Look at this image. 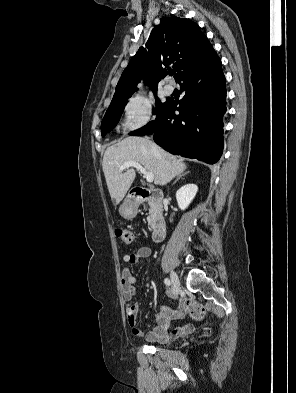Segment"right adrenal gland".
<instances>
[{"label":"right adrenal gland","mask_w":296,"mask_h":393,"mask_svg":"<svg viewBox=\"0 0 296 393\" xmlns=\"http://www.w3.org/2000/svg\"><path fill=\"white\" fill-rule=\"evenodd\" d=\"M187 173H189V172H186L185 174H187ZM183 175H184V174L177 176L176 179L174 180V182L172 183V185L175 184L177 181H179V179H180Z\"/></svg>","instance_id":"right-adrenal-gland-1"}]
</instances>
